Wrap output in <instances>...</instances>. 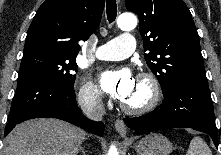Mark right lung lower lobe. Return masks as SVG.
<instances>
[{
    "label": "right lung lower lobe",
    "instance_id": "obj_1",
    "mask_svg": "<svg viewBox=\"0 0 221 155\" xmlns=\"http://www.w3.org/2000/svg\"><path fill=\"white\" fill-rule=\"evenodd\" d=\"M41 117L58 118L98 135H102L104 130L102 122L88 120L82 114L73 88L40 75H29L17 82L4 136L16 124Z\"/></svg>",
    "mask_w": 221,
    "mask_h": 155
}]
</instances>
